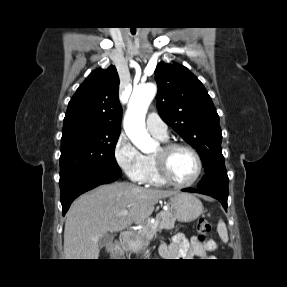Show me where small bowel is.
<instances>
[{
	"label": "small bowel",
	"instance_id": "c3829d8e",
	"mask_svg": "<svg viewBox=\"0 0 287 287\" xmlns=\"http://www.w3.org/2000/svg\"><path fill=\"white\" fill-rule=\"evenodd\" d=\"M216 248L217 244L212 239L206 243H201L195 236L187 239L182 234H176L168 244L162 243L160 245L159 255L165 259L207 258L208 253Z\"/></svg>",
	"mask_w": 287,
	"mask_h": 287
}]
</instances>
